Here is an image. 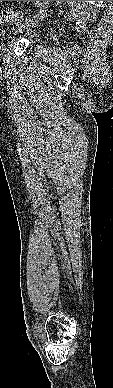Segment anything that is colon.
Instances as JSON below:
<instances>
[{"label":"colon","instance_id":"colon-1","mask_svg":"<svg viewBox=\"0 0 113 388\" xmlns=\"http://www.w3.org/2000/svg\"><path fill=\"white\" fill-rule=\"evenodd\" d=\"M3 23H14L17 22L20 19V15L13 10H3L2 11V18H0Z\"/></svg>","mask_w":113,"mask_h":388}]
</instances>
